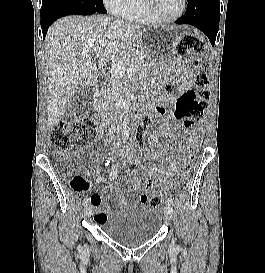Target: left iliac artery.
Masks as SVG:
<instances>
[{
  "mask_svg": "<svg viewBox=\"0 0 265 273\" xmlns=\"http://www.w3.org/2000/svg\"><path fill=\"white\" fill-rule=\"evenodd\" d=\"M166 201H167L168 205L174 206V202H173L172 198L168 197Z\"/></svg>",
  "mask_w": 265,
  "mask_h": 273,
  "instance_id": "1",
  "label": "left iliac artery"
}]
</instances>
